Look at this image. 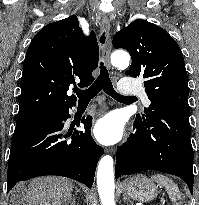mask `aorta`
Here are the masks:
<instances>
[{"label":"aorta","mask_w":199,"mask_h":205,"mask_svg":"<svg viewBox=\"0 0 199 205\" xmlns=\"http://www.w3.org/2000/svg\"><path fill=\"white\" fill-rule=\"evenodd\" d=\"M129 61V54L123 50L115 51L111 56V63L115 67L127 68ZM113 164V158L109 155L103 156L98 164L97 186L102 205H115Z\"/></svg>","instance_id":"762f6f07"}]
</instances>
